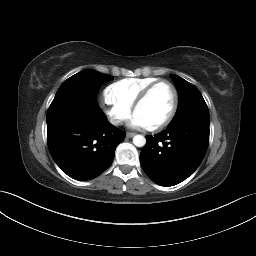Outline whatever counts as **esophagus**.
<instances>
[{
	"label": "esophagus",
	"instance_id": "34e87169",
	"mask_svg": "<svg viewBox=\"0 0 256 256\" xmlns=\"http://www.w3.org/2000/svg\"><path fill=\"white\" fill-rule=\"evenodd\" d=\"M126 136H127L128 138H132L133 136H135V133H133V132H127V133H126Z\"/></svg>",
	"mask_w": 256,
	"mask_h": 256
}]
</instances>
